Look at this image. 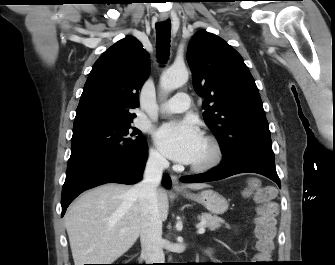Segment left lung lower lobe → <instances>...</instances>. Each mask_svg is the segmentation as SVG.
<instances>
[{"label": "left lung lower lobe", "instance_id": "1", "mask_svg": "<svg viewBox=\"0 0 335 265\" xmlns=\"http://www.w3.org/2000/svg\"><path fill=\"white\" fill-rule=\"evenodd\" d=\"M245 172L258 173L266 176L281 188L274 158L256 152H240L233 154L223 158L222 162L217 167L207 173L184 176L180 180L184 183L209 182Z\"/></svg>", "mask_w": 335, "mask_h": 265}]
</instances>
